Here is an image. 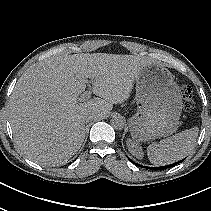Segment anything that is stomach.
<instances>
[{"label":"stomach","mask_w":211,"mask_h":211,"mask_svg":"<svg viewBox=\"0 0 211 211\" xmlns=\"http://www.w3.org/2000/svg\"><path fill=\"white\" fill-rule=\"evenodd\" d=\"M137 113L129 120L131 135L141 142L173 134L180 125L182 96L171 72L149 63L136 78Z\"/></svg>","instance_id":"0dacf381"}]
</instances>
